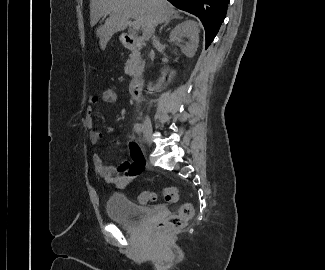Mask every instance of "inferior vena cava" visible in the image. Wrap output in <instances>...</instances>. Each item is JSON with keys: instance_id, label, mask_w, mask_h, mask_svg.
Wrapping results in <instances>:
<instances>
[{"instance_id": "1", "label": "inferior vena cava", "mask_w": 325, "mask_h": 270, "mask_svg": "<svg viewBox=\"0 0 325 270\" xmlns=\"http://www.w3.org/2000/svg\"><path fill=\"white\" fill-rule=\"evenodd\" d=\"M156 42V38H155V36H153V43H155Z\"/></svg>"}]
</instances>
